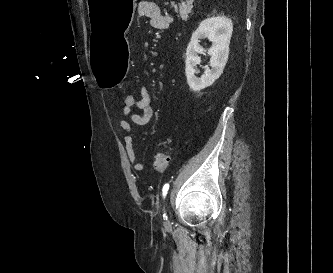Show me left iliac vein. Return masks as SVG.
Returning a JSON list of instances; mask_svg holds the SVG:
<instances>
[{
	"label": "left iliac vein",
	"mask_w": 333,
	"mask_h": 273,
	"mask_svg": "<svg viewBox=\"0 0 333 273\" xmlns=\"http://www.w3.org/2000/svg\"><path fill=\"white\" fill-rule=\"evenodd\" d=\"M165 215V220H164V225L166 226V225H168V223H169V221H168V219H167V217H166V214H164Z\"/></svg>",
	"instance_id": "left-iliac-vein-1"
}]
</instances>
